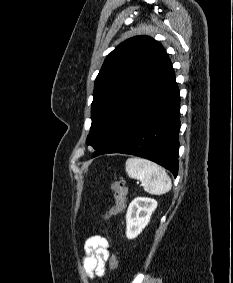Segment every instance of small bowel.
Returning a JSON list of instances; mask_svg holds the SVG:
<instances>
[{"label": "small bowel", "mask_w": 233, "mask_h": 283, "mask_svg": "<svg viewBox=\"0 0 233 283\" xmlns=\"http://www.w3.org/2000/svg\"><path fill=\"white\" fill-rule=\"evenodd\" d=\"M109 242L100 235L90 236L84 245L82 271L87 278L103 277L109 259Z\"/></svg>", "instance_id": "c3829d8e"}]
</instances>
